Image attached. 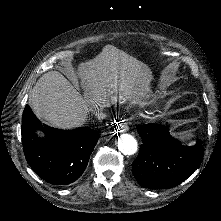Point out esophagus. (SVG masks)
I'll return each instance as SVG.
<instances>
[{"instance_id": "34e87169", "label": "esophagus", "mask_w": 221, "mask_h": 221, "mask_svg": "<svg viewBox=\"0 0 221 221\" xmlns=\"http://www.w3.org/2000/svg\"><path fill=\"white\" fill-rule=\"evenodd\" d=\"M119 128L121 131L126 132L128 130V124L125 121H121L119 124Z\"/></svg>"}]
</instances>
